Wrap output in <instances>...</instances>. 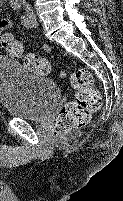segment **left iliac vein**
Wrapping results in <instances>:
<instances>
[{
  "mask_svg": "<svg viewBox=\"0 0 123 201\" xmlns=\"http://www.w3.org/2000/svg\"><path fill=\"white\" fill-rule=\"evenodd\" d=\"M29 21L32 27H36L37 26V20H36V16L33 12H29Z\"/></svg>",
  "mask_w": 123,
  "mask_h": 201,
  "instance_id": "obj_1",
  "label": "left iliac vein"
}]
</instances>
